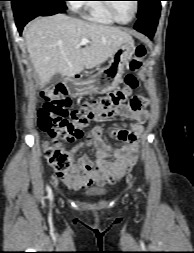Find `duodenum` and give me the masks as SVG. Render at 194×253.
Returning a JSON list of instances; mask_svg holds the SVG:
<instances>
[{"label": "duodenum", "mask_w": 194, "mask_h": 253, "mask_svg": "<svg viewBox=\"0 0 194 253\" xmlns=\"http://www.w3.org/2000/svg\"><path fill=\"white\" fill-rule=\"evenodd\" d=\"M73 78H82V73H73Z\"/></svg>", "instance_id": "1"}]
</instances>
